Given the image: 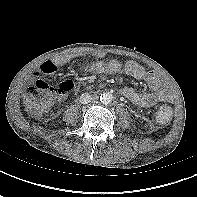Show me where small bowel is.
I'll return each instance as SVG.
<instances>
[{"label": "small bowel", "mask_w": 197, "mask_h": 197, "mask_svg": "<svg viewBox=\"0 0 197 197\" xmlns=\"http://www.w3.org/2000/svg\"><path fill=\"white\" fill-rule=\"evenodd\" d=\"M97 58H103L105 53L98 51L95 53ZM74 55H67L56 60L46 61L42 63L36 75H51L64 64L68 63ZM87 71L91 74H116L123 70L128 76L137 80L145 81L150 91L141 92L132 87H124L121 90L122 95L132 103L149 107L160 101H168L173 98L169 83L155 71H146L141 65L134 61L127 62L123 67L116 59H108L106 61L97 60L87 66Z\"/></svg>", "instance_id": "small-bowel-1"}]
</instances>
